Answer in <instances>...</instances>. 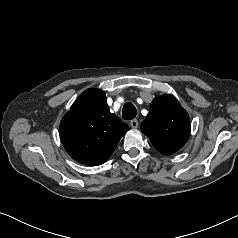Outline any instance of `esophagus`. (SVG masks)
Segmentation results:
<instances>
[{
	"label": "esophagus",
	"mask_w": 238,
	"mask_h": 238,
	"mask_svg": "<svg viewBox=\"0 0 238 238\" xmlns=\"http://www.w3.org/2000/svg\"><path fill=\"white\" fill-rule=\"evenodd\" d=\"M130 126L134 129H136L138 127V120L137 119H133L130 121Z\"/></svg>",
	"instance_id": "esophagus-1"
}]
</instances>
